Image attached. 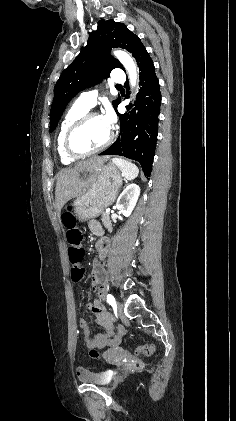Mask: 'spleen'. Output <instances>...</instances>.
Masks as SVG:
<instances>
[{"instance_id":"spleen-1","label":"spleen","mask_w":236,"mask_h":421,"mask_svg":"<svg viewBox=\"0 0 236 421\" xmlns=\"http://www.w3.org/2000/svg\"><path fill=\"white\" fill-rule=\"evenodd\" d=\"M113 162L120 168L123 176H125L127 180H131V178H136V176H138L139 168L134 162L125 160V158H113Z\"/></svg>"}]
</instances>
